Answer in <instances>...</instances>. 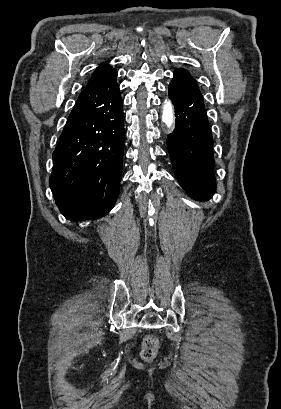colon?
Wrapping results in <instances>:
<instances>
[{"instance_id":"obj_1","label":"colon","mask_w":281,"mask_h":409,"mask_svg":"<svg viewBox=\"0 0 281 409\" xmlns=\"http://www.w3.org/2000/svg\"><path fill=\"white\" fill-rule=\"evenodd\" d=\"M157 352V341L154 337L148 336L145 342V346L142 351V355L145 359H152L154 358Z\"/></svg>"}]
</instances>
